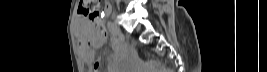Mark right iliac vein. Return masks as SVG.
Segmentation results:
<instances>
[{
  "label": "right iliac vein",
  "instance_id": "1",
  "mask_svg": "<svg viewBox=\"0 0 267 72\" xmlns=\"http://www.w3.org/2000/svg\"><path fill=\"white\" fill-rule=\"evenodd\" d=\"M113 27H114L115 33H120V27L118 25L117 19H114Z\"/></svg>",
  "mask_w": 267,
  "mask_h": 72
}]
</instances>
